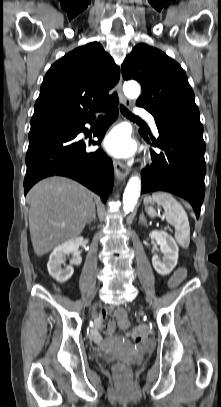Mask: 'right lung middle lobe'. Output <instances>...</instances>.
Returning a JSON list of instances; mask_svg holds the SVG:
<instances>
[{"label": "right lung middle lobe", "mask_w": 221, "mask_h": 407, "mask_svg": "<svg viewBox=\"0 0 221 407\" xmlns=\"http://www.w3.org/2000/svg\"><path fill=\"white\" fill-rule=\"evenodd\" d=\"M65 124H53V125H48V126H42V127H36V128H31L29 133L44 130V129H51V128H57L61 127Z\"/></svg>", "instance_id": "1"}]
</instances>
